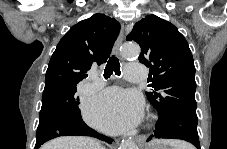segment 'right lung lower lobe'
<instances>
[{
  "instance_id": "1",
  "label": "right lung lower lobe",
  "mask_w": 227,
  "mask_h": 149,
  "mask_svg": "<svg viewBox=\"0 0 227 149\" xmlns=\"http://www.w3.org/2000/svg\"><path fill=\"white\" fill-rule=\"evenodd\" d=\"M67 135L90 136L108 143L113 141L111 138L103 136L88 127L82 119H61L38 125L35 149H38L46 141Z\"/></svg>"
}]
</instances>
